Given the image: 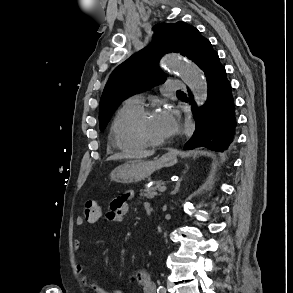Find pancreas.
<instances>
[{"mask_svg":"<svg viewBox=\"0 0 293 293\" xmlns=\"http://www.w3.org/2000/svg\"><path fill=\"white\" fill-rule=\"evenodd\" d=\"M164 184L165 183L162 181L155 182L151 187H146L145 189L141 190L140 197L152 199L159 196L160 194L157 192V190Z\"/></svg>","mask_w":293,"mask_h":293,"instance_id":"obj_1","label":"pancreas"}]
</instances>
